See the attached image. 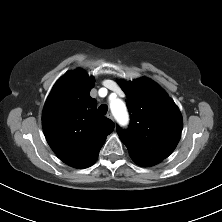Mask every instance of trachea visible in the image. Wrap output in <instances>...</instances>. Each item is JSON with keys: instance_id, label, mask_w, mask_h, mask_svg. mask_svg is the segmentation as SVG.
Listing matches in <instances>:
<instances>
[{"instance_id": "obj_1", "label": "trachea", "mask_w": 222, "mask_h": 222, "mask_svg": "<svg viewBox=\"0 0 222 222\" xmlns=\"http://www.w3.org/2000/svg\"><path fill=\"white\" fill-rule=\"evenodd\" d=\"M107 111H108V106L106 104H102L98 108V112L101 115H105L107 113Z\"/></svg>"}]
</instances>
